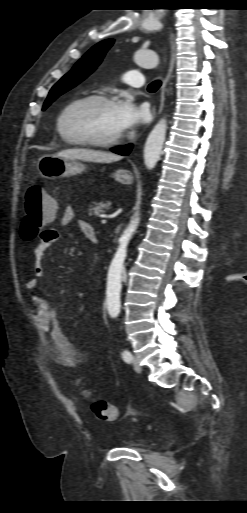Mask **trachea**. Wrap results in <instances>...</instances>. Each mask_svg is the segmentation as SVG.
<instances>
[{
    "mask_svg": "<svg viewBox=\"0 0 247 513\" xmlns=\"http://www.w3.org/2000/svg\"><path fill=\"white\" fill-rule=\"evenodd\" d=\"M160 86H161V81L156 80V81L152 82L151 84H149L147 89L149 92L153 93V92L157 91Z\"/></svg>",
    "mask_w": 247,
    "mask_h": 513,
    "instance_id": "trachea-1",
    "label": "trachea"
}]
</instances>
